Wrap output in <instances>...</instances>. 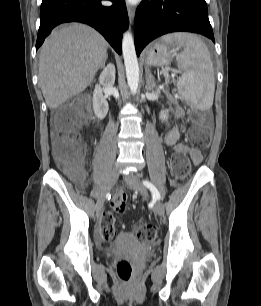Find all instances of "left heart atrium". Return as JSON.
Masks as SVG:
<instances>
[{
	"label": "left heart atrium",
	"instance_id": "1",
	"mask_svg": "<svg viewBox=\"0 0 261 306\" xmlns=\"http://www.w3.org/2000/svg\"><path fill=\"white\" fill-rule=\"evenodd\" d=\"M130 2H134L135 0H129Z\"/></svg>",
	"mask_w": 261,
	"mask_h": 306
}]
</instances>
